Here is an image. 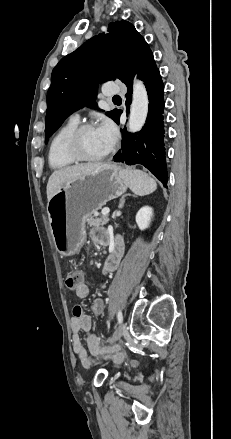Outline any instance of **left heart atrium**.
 <instances>
[{
	"label": "left heart atrium",
	"mask_w": 231,
	"mask_h": 439,
	"mask_svg": "<svg viewBox=\"0 0 231 439\" xmlns=\"http://www.w3.org/2000/svg\"><path fill=\"white\" fill-rule=\"evenodd\" d=\"M97 130L105 140L108 147L111 148L117 140V129L114 123L110 120H104Z\"/></svg>",
	"instance_id": "left-heart-atrium-1"
}]
</instances>
